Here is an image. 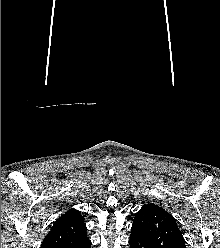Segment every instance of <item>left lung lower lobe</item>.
<instances>
[{
  "mask_svg": "<svg viewBox=\"0 0 220 248\" xmlns=\"http://www.w3.org/2000/svg\"><path fill=\"white\" fill-rule=\"evenodd\" d=\"M130 248H156L148 242L138 231L131 229Z\"/></svg>",
  "mask_w": 220,
  "mask_h": 248,
  "instance_id": "left-lung-lower-lobe-1",
  "label": "left lung lower lobe"
}]
</instances>
